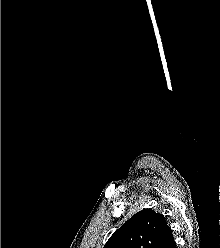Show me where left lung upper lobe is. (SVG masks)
Segmentation results:
<instances>
[{
    "instance_id": "obj_1",
    "label": "left lung upper lobe",
    "mask_w": 220,
    "mask_h": 248,
    "mask_svg": "<svg viewBox=\"0 0 220 248\" xmlns=\"http://www.w3.org/2000/svg\"><path fill=\"white\" fill-rule=\"evenodd\" d=\"M173 241L164 216L143 209L117 229L104 248H168Z\"/></svg>"
}]
</instances>
